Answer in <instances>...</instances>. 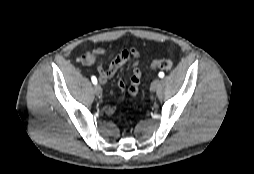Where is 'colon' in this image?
Listing matches in <instances>:
<instances>
[{
  "label": "colon",
  "mask_w": 254,
  "mask_h": 174,
  "mask_svg": "<svg viewBox=\"0 0 254 174\" xmlns=\"http://www.w3.org/2000/svg\"><path fill=\"white\" fill-rule=\"evenodd\" d=\"M173 67V63L169 59H156L151 63V68L169 70Z\"/></svg>",
  "instance_id": "5ec220e1"
}]
</instances>
